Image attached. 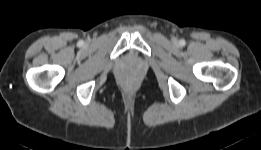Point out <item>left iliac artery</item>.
Segmentation results:
<instances>
[{"mask_svg": "<svg viewBox=\"0 0 261 150\" xmlns=\"http://www.w3.org/2000/svg\"><path fill=\"white\" fill-rule=\"evenodd\" d=\"M180 44H181V45H184V44H185V41H184V40H181V41H180Z\"/></svg>", "mask_w": 261, "mask_h": 150, "instance_id": "obj_1", "label": "left iliac artery"}]
</instances>
